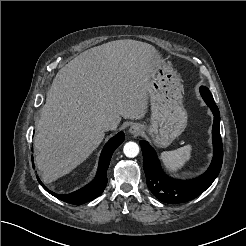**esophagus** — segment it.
Masks as SVG:
<instances>
[{
  "instance_id": "obj_1",
  "label": "esophagus",
  "mask_w": 246,
  "mask_h": 246,
  "mask_svg": "<svg viewBox=\"0 0 246 246\" xmlns=\"http://www.w3.org/2000/svg\"><path fill=\"white\" fill-rule=\"evenodd\" d=\"M142 131V127L141 125L139 124H133L130 128H129V132L132 134V135H139Z\"/></svg>"
}]
</instances>
